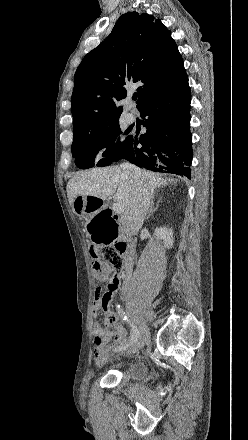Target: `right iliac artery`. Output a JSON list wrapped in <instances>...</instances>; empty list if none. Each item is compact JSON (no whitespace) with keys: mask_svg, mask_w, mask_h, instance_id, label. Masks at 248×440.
Instances as JSON below:
<instances>
[{"mask_svg":"<svg viewBox=\"0 0 248 440\" xmlns=\"http://www.w3.org/2000/svg\"><path fill=\"white\" fill-rule=\"evenodd\" d=\"M117 309H118V312L123 316V320L130 323L127 316L125 315V312H123V310L120 308V305H117ZM130 326H131V331H132V336H131L130 342L127 343L126 345L119 346L118 348L115 349V351H121L123 349H126L130 344H132L136 341V339L139 335V331L133 323H130Z\"/></svg>","mask_w":248,"mask_h":440,"instance_id":"right-iliac-artery-1","label":"right iliac artery"}]
</instances>
